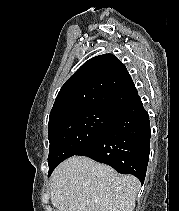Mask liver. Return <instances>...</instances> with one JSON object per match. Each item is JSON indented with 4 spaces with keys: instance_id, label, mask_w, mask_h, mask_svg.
<instances>
[{
    "instance_id": "obj_1",
    "label": "liver",
    "mask_w": 179,
    "mask_h": 211,
    "mask_svg": "<svg viewBox=\"0 0 179 211\" xmlns=\"http://www.w3.org/2000/svg\"><path fill=\"white\" fill-rule=\"evenodd\" d=\"M140 181L84 156L60 163L51 176L57 211H133Z\"/></svg>"
}]
</instances>
